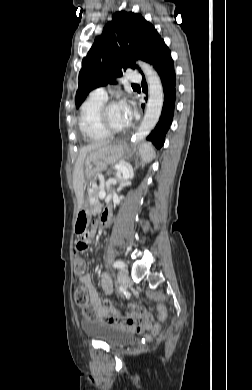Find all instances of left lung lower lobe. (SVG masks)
<instances>
[{
  "instance_id": "0a47b994",
  "label": "left lung lower lobe",
  "mask_w": 252,
  "mask_h": 390,
  "mask_svg": "<svg viewBox=\"0 0 252 390\" xmlns=\"http://www.w3.org/2000/svg\"><path fill=\"white\" fill-rule=\"evenodd\" d=\"M149 63L155 68L161 79L164 101L159 121L148 135L147 140L151 141L157 149H160L164 144L165 135L173 120L177 93L174 63L170 50L164 40H161L157 45ZM142 89L144 93L148 92L144 78L142 81Z\"/></svg>"
}]
</instances>
